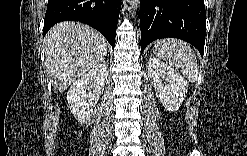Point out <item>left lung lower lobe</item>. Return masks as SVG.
<instances>
[{"mask_svg":"<svg viewBox=\"0 0 247 156\" xmlns=\"http://www.w3.org/2000/svg\"><path fill=\"white\" fill-rule=\"evenodd\" d=\"M204 0H140L141 51L156 39L174 37L204 54Z\"/></svg>","mask_w":247,"mask_h":156,"instance_id":"1","label":"left lung lower lobe"}]
</instances>
